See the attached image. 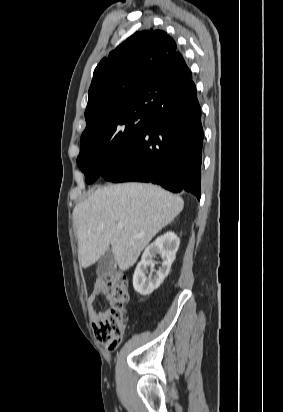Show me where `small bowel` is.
I'll use <instances>...</instances> for the list:
<instances>
[{
  "label": "small bowel",
  "mask_w": 283,
  "mask_h": 412,
  "mask_svg": "<svg viewBox=\"0 0 283 412\" xmlns=\"http://www.w3.org/2000/svg\"><path fill=\"white\" fill-rule=\"evenodd\" d=\"M107 294V288L103 281L97 280L93 290L87 297L88 314L92 321H96L99 317L105 314V311H97L95 307L96 300L101 295Z\"/></svg>",
  "instance_id": "c3829d8e"
}]
</instances>
